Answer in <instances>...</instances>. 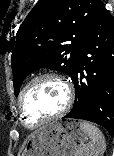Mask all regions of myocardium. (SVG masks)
<instances>
[{
    "mask_svg": "<svg viewBox=\"0 0 114 156\" xmlns=\"http://www.w3.org/2000/svg\"><path fill=\"white\" fill-rule=\"evenodd\" d=\"M43 79H53V80L57 81L62 86V88L64 90V94H65L64 104H63L62 108L55 114L48 116L46 118H43L40 121H38L36 124L29 126L26 124L25 119H24V113H23V109H22V99H23V96L25 95V93L27 92V90L33 84H35L36 82L43 80ZM73 100H74L73 88L70 85V83L63 76H61L60 74L55 73V72L41 73V74L33 77L20 91V94H19L18 100H17V106H18V109L20 112L21 122L23 123V125L25 127L29 128V129H33V128H36L44 123L58 119L69 111V109L71 108V106L73 104Z\"/></svg>",
    "mask_w": 114,
    "mask_h": 156,
    "instance_id": "myocardium-1",
    "label": "myocardium"
}]
</instances>
